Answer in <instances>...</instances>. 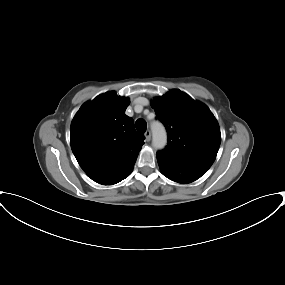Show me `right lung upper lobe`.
<instances>
[{
  "label": "right lung upper lobe",
  "instance_id": "cb5924a9",
  "mask_svg": "<svg viewBox=\"0 0 285 285\" xmlns=\"http://www.w3.org/2000/svg\"><path fill=\"white\" fill-rule=\"evenodd\" d=\"M129 99L114 91L84 103L73 118L70 141L73 154L95 182L112 185L134 166L144 144L134 121L125 114Z\"/></svg>",
  "mask_w": 285,
  "mask_h": 285
}]
</instances>
